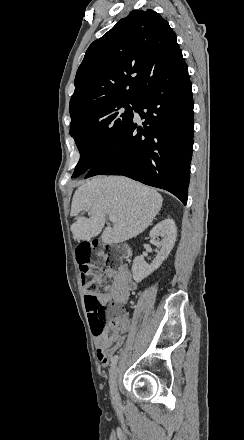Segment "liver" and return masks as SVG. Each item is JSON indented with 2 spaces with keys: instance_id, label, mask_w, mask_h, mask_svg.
Segmentation results:
<instances>
[{
  "instance_id": "liver-1",
  "label": "liver",
  "mask_w": 244,
  "mask_h": 440,
  "mask_svg": "<svg viewBox=\"0 0 244 440\" xmlns=\"http://www.w3.org/2000/svg\"><path fill=\"white\" fill-rule=\"evenodd\" d=\"M162 196L139 182L124 176H95L76 190L70 216L88 212L90 218H77L71 232L78 240H91L101 234L106 214L117 220L114 228L107 226L102 232L104 244H120L144 232L155 220L162 206Z\"/></svg>"
}]
</instances>
